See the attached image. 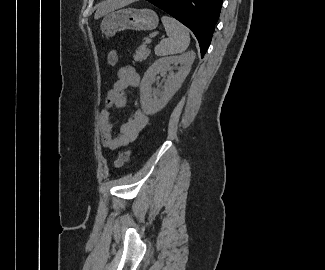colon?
I'll return each mask as SVG.
<instances>
[{"mask_svg":"<svg viewBox=\"0 0 325 270\" xmlns=\"http://www.w3.org/2000/svg\"><path fill=\"white\" fill-rule=\"evenodd\" d=\"M107 62L110 66H115L118 63V52L116 50H111L108 53ZM129 157L130 151L121 152L115 160V167H121L129 160Z\"/></svg>","mask_w":325,"mask_h":270,"instance_id":"5ec220e1","label":"colon"}]
</instances>
